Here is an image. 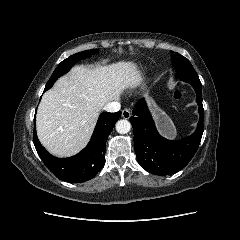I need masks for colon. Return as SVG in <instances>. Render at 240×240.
I'll use <instances>...</instances> for the list:
<instances>
[{"label": "colon", "instance_id": "5ec220e1", "mask_svg": "<svg viewBox=\"0 0 240 240\" xmlns=\"http://www.w3.org/2000/svg\"><path fill=\"white\" fill-rule=\"evenodd\" d=\"M174 98H175L176 100L180 99V98H181V93L178 92V91H176V92L174 93Z\"/></svg>", "mask_w": 240, "mask_h": 240}]
</instances>
